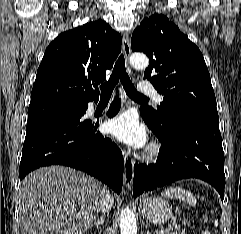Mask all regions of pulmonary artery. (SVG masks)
Segmentation results:
<instances>
[{"label":"pulmonary artery","instance_id":"pulmonary-artery-1","mask_svg":"<svg viewBox=\"0 0 241 234\" xmlns=\"http://www.w3.org/2000/svg\"><path fill=\"white\" fill-rule=\"evenodd\" d=\"M139 91L142 95L151 96L157 103H160L163 99L162 96L155 90V88L149 84L140 85Z\"/></svg>","mask_w":241,"mask_h":234}]
</instances>
